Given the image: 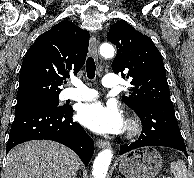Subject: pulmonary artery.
Segmentation results:
<instances>
[{
  "instance_id": "pulmonary-artery-1",
  "label": "pulmonary artery",
  "mask_w": 194,
  "mask_h": 178,
  "mask_svg": "<svg viewBox=\"0 0 194 178\" xmlns=\"http://www.w3.org/2000/svg\"><path fill=\"white\" fill-rule=\"evenodd\" d=\"M75 88L66 90L64 94L65 99L74 101H90L98 97V92L84 85L82 82H75ZM102 85L105 88H116L118 81L115 75L109 74L102 78Z\"/></svg>"
}]
</instances>
